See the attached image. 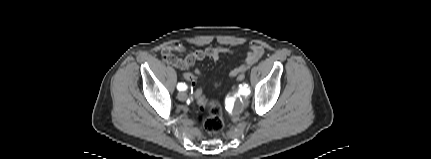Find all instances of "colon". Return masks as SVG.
<instances>
[{"label":"colon","mask_w":431,"mask_h":159,"mask_svg":"<svg viewBox=\"0 0 431 159\" xmlns=\"http://www.w3.org/2000/svg\"><path fill=\"white\" fill-rule=\"evenodd\" d=\"M182 78L184 80H187L189 83H192L194 85V96L197 100V103L202 108H207L208 112L207 115L200 114L198 117V120L204 130L209 134H216L219 133L223 127V115H222V108L218 101L213 100L210 102H207L204 96L202 95V87L199 85V79H197L196 75L194 73H191L190 71H184L182 73ZM247 78V74L245 72H239V75L236 78L237 83H242Z\"/></svg>","instance_id":"5ec220e1"}]
</instances>
